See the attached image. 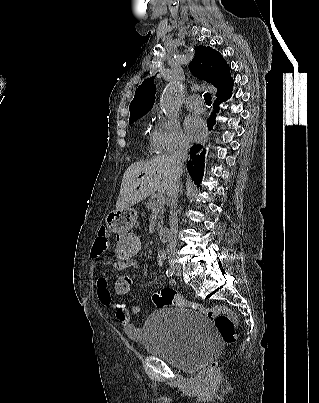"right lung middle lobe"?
Masks as SVG:
<instances>
[{
    "label": "right lung middle lobe",
    "instance_id": "obj_1",
    "mask_svg": "<svg viewBox=\"0 0 319 403\" xmlns=\"http://www.w3.org/2000/svg\"><path fill=\"white\" fill-rule=\"evenodd\" d=\"M139 118H140V117L129 119V124L133 123L135 120H137V119H139Z\"/></svg>",
    "mask_w": 319,
    "mask_h": 403
}]
</instances>
